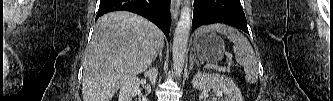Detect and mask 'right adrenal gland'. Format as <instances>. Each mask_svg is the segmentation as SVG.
<instances>
[{
	"instance_id": "right-adrenal-gland-1",
	"label": "right adrenal gland",
	"mask_w": 333,
	"mask_h": 101,
	"mask_svg": "<svg viewBox=\"0 0 333 101\" xmlns=\"http://www.w3.org/2000/svg\"><path fill=\"white\" fill-rule=\"evenodd\" d=\"M158 55H159L160 60L162 61V49H160V50L154 55L153 61L156 60V58H157Z\"/></svg>"
}]
</instances>
